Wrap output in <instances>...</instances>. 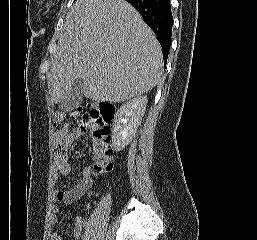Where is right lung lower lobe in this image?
I'll return each mask as SVG.
<instances>
[{"instance_id":"98d812e1","label":"right lung lower lobe","mask_w":257,"mask_h":240,"mask_svg":"<svg viewBox=\"0 0 257 240\" xmlns=\"http://www.w3.org/2000/svg\"><path fill=\"white\" fill-rule=\"evenodd\" d=\"M141 14L147 25L156 33L163 49L164 64L171 44L172 13L170 0H126Z\"/></svg>"}]
</instances>
